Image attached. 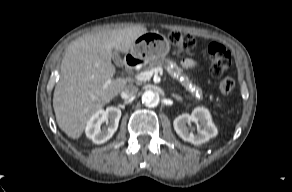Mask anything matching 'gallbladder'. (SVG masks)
Masks as SVG:
<instances>
[{
  "label": "gallbladder",
  "instance_id": "obj_1",
  "mask_svg": "<svg viewBox=\"0 0 292 192\" xmlns=\"http://www.w3.org/2000/svg\"><path fill=\"white\" fill-rule=\"evenodd\" d=\"M112 58H113V61H114L116 64H120V63H122V60H121L119 54H118L116 51H114V52L112 53Z\"/></svg>",
  "mask_w": 292,
  "mask_h": 192
}]
</instances>
